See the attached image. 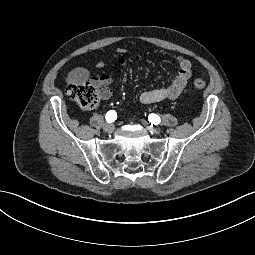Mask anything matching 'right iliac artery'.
Returning <instances> with one entry per match:
<instances>
[{
    "mask_svg": "<svg viewBox=\"0 0 255 255\" xmlns=\"http://www.w3.org/2000/svg\"><path fill=\"white\" fill-rule=\"evenodd\" d=\"M117 118V113L115 110H110L106 113V121L111 123L113 121H115V119Z\"/></svg>",
    "mask_w": 255,
    "mask_h": 255,
    "instance_id": "right-iliac-artery-1",
    "label": "right iliac artery"
}]
</instances>
